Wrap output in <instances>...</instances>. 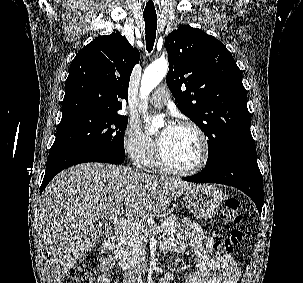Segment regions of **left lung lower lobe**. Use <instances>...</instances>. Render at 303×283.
Wrapping results in <instances>:
<instances>
[{"mask_svg":"<svg viewBox=\"0 0 303 283\" xmlns=\"http://www.w3.org/2000/svg\"><path fill=\"white\" fill-rule=\"evenodd\" d=\"M194 183H218L233 186L246 193L261 214L263 206V178L257 164L255 146L233 150L196 175L183 178Z\"/></svg>","mask_w":303,"mask_h":283,"instance_id":"1","label":"left lung lower lobe"}]
</instances>
